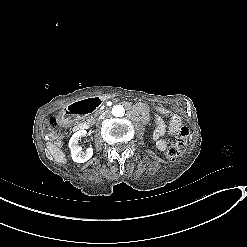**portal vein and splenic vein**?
<instances>
[{
  "label": "portal vein and splenic vein",
  "mask_w": 247,
  "mask_h": 247,
  "mask_svg": "<svg viewBox=\"0 0 247 247\" xmlns=\"http://www.w3.org/2000/svg\"><path fill=\"white\" fill-rule=\"evenodd\" d=\"M103 109H105V106L99 107V110H103Z\"/></svg>",
  "instance_id": "obj_1"
}]
</instances>
